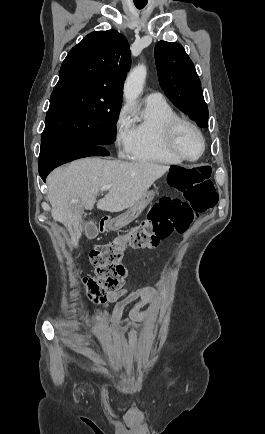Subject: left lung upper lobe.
<instances>
[{"label":"left lung upper lobe","mask_w":265,"mask_h":434,"mask_svg":"<svg viewBox=\"0 0 265 434\" xmlns=\"http://www.w3.org/2000/svg\"><path fill=\"white\" fill-rule=\"evenodd\" d=\"M159 83L166 96L198 126L208 127V108L193 62L175 42L160 41L155 46Z\"/></svg>","instance_id":"1"}]
</instances>
